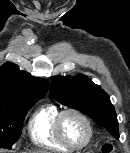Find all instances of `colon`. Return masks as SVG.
Listing matches in <instances>:
<instances>
[{"instance_id":"1","label":"colon","mask_w":130,"mask_h":153,"mask_svg":"<svg viewBox=\"0 0 130 153\" xmlns=\"http://www.w3.org/2000/svg\"><path fill=\"white\" fill-rule=\"evenodd\" d=\"M103 151L104 152H111L112 151V147L109 144H106L103 146Z\"/></svg>"}]
</instances>
